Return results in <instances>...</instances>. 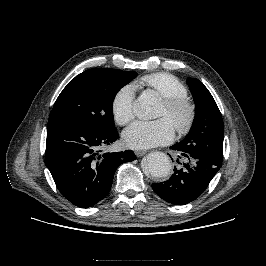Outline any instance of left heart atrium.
Masks as SVG:
<instances>
[{"instance_id":"39dd6f15","label":"left heart atrium","mask_w":266,"mask_h":266,"mask_svg":"<svg viewBox=\"0 0 266 266\" xmlns=\"http://www.w3.org/2000/svg\"><path fill=\"white\" fill-rule=\"evenodd\" d=\"M174 128L167 118L155 121H135L123 133L127 146L146 149L170 142Z\"/></svg>"}]
</instances>
